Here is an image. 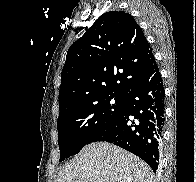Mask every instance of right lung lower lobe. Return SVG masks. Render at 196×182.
Returning <instances> with one entry per match:
<instances>
[{
  "label": "right lung lower lobe",
  "instance_id": "obj_1",
  "mask_svg": "<svg viewBox=\"0 0 196 182\" xmlns=\"http://www.w3.org/2000/svg\"><path fill=\"white\" fill-rule=\"evenodd\" d=\"M165 90L156 64L132 85L123 110L99 131L92 142L114 143L143 159L154 172L165 120Z\"/></svg>",
  "mask_w": 196,
  "mask_h": 182
}]
</instances>
